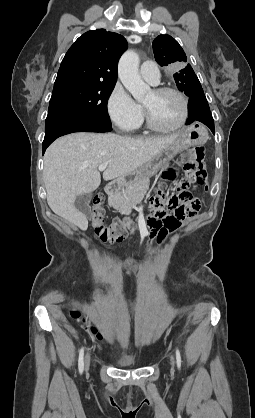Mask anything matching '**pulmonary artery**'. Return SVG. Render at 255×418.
<instances>
[{
  "instance_id": "1",
  "label": "pulmonary artery",
  "mask_w": 255,
  "mask_h": 418,
  "mask_svg": "<svg viewBox=\"0 0 255 418\" xmlns=\"http://www.w3.org/2000/svg\"><path fill=\"white\" fill-rule=\"evenodd\" d=\"M142 78L152 85L159 83L160 74L157 65L154 62L146 61L140 67Z\"/></svg>"
}]
</instances>
